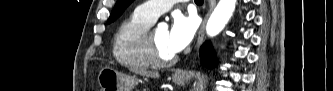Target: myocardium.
I'll return each mask as SVG.
<instances>
[{
    "mask_svg": "<svg viewBox=\"0 0 333 91\" xmlns=\"http://www.w3.org/2000/svg\"><path fill=\"white\" fill-rule=\"evenodd\" d=\"M144 44H145V49H146V55L148 58V61L152 66L155 67H167L172 64H174L177 60V56L173 55L169 58H164L153 39V32H146L144 35Z\"/></svg>",
    "mask_w": 333,
    "mask_h": 91,
    "instance_id": "obj_1",
    "label": "myocardium"
}]
</instances>
